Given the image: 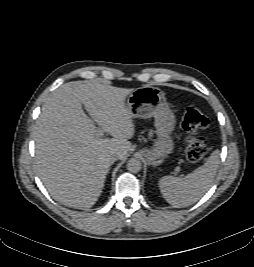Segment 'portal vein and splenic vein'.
I'll return each instance as SVG.
<instances>
[{"label":"portal vein and splenic vein","mask_w":254,"mask_h":267,"mask_svg":"<svg viewBox=\"0 0 254 267\" xmlns=\"http://www.w3.org/2000/svg\"><path fill=\"white\" fill-rule=\"evenodd\" d=\"M103 135H104L103 130L98 129L97 132H96V137L101 138V137H103ZM175 170H176L177 172H179V171H180V168H179V167H176Z\"/></svg>","instance_id":"obj_1"}]
</instances>
